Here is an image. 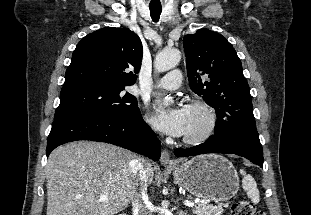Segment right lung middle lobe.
<instances>
[{
    "mask_svg": "<svg viewBox=\"0 0 311 215\" xmlns=\"http://www.w3.org/2000/svg\"><path fill=\"white\" fill-rule=\"evenodd\" d=\"M124 89L94 83L63 86L54 119L73 115L121 119L139 114L137 99Z\"/></svg>",
    "mask_w": 311,
    "mask_h": 215,
    "instance_id": "right-lung-middle-lobe-1",
    "label": "right lung middle lobe"
}]
</instances>
